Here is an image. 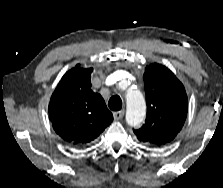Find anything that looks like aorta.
I'll list each match as a JSON object with an SVG mask.
<instances>
[{
	"mask_svg": "<svg viewBox=\"0 0 223 188\" xmlns=\"http://www.w3.org/2000/svg\"><path fill=\"white\" fill-rule=\"evenodd\" d=\"M146 116V104L139 90H131L126 94V122L128 125L138 127Z\"/></svg>",
	"mask_w": 223,
	"mask_h": 188,
	"instance_id": "762f6f07",
	"label": "aorta"
}]
</instances>
